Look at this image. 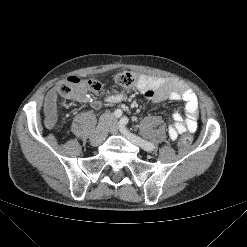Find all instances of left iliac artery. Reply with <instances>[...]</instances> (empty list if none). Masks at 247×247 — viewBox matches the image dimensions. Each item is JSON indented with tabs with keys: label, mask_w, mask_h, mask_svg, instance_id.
Wrapping results in <instances>:
<instances>
[{
	"label": "left iliac artery",
	"mask_w": 247,
	"mask_h": 247,
	"mask_svg": "<svg viewBox=\"0 0 247 247\" xmlns=\"http://www.w3.org/2000/svg\"><path fill=\"white\" fill-rule=\"evenodd\" d=\"M127 124H128V119L127 117H123L121 118V120L119 121V128L121 132H126L129 133L135 140H137V143L140 147H142L144 150L146 151H153L155 146L148 141H145L143 139H141L140 137H138L137 135L131 133L128 129H127Z\"/></svg>",
	"instance_id": "obj_1"
}]
</instances>
